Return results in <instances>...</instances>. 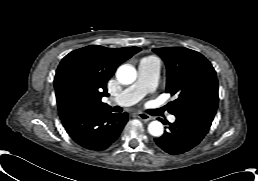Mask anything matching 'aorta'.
Instances as JSON below:
<instances>
[{"instance_id":"obj_1","label":"aorta","mask_w":258,"mask_h":181,"mask_svg":"<svg viewBox=\"0 0 258 181\" xmlns=\"http://www.w3.org/2000/svg\"><path fill=\"white\" fill-rule=\"evenodd\" d=\"M116 77L121 84L129 85L136 80L137 72L132 65L124 64L117 69ZM163 131V124L157 120L150 122L148 125V132L154 137L161 136Z\"/></svg>"}]
</instances>
